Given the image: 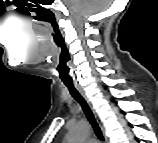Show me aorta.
<instances>
[{"label": "aorta", "mask_w": 158, "mask_h": 143, "mask_svg": "<svg viewBox=\"0 0 158 143\" xmlns=\"http://www.w3.org/2000/svg\"><path fill=\"white\" fill-rule=\"evenodd\" d=\"M89 133V126L86 122L80 121L75 124L70 130L68 137L69 142H79L82 141Z\"/></svg>", "instance_id": "1"}]
</instances>
